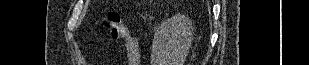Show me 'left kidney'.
<instances>
[{
    "mask_svg": "<svg viewBox=\"0 0 309 65\" xmlns=\"http://www.w3.org/2000/svg\"><path fill=\"white\" fill-rule=\"evenodd\" d=\"M192 31V22L185 15H175L164 21L154 34L151 65H184Z\"/></svg>",
    "mask_w": 309,
    "mask_h": 65,
    "instance_id": "left-kidney-1",
    "label": "left kidney"
}]
</instances>
